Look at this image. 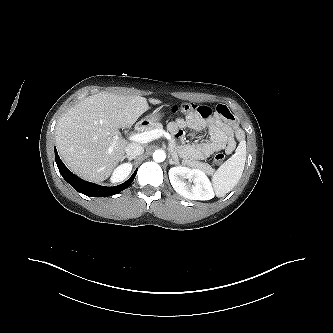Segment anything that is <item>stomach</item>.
<instances>
[{
    "label": "stomach",
    "mask_w": 333,
    "mask_h": 333,
    "mask_svg": "<svg viewBox=\"0 0 333 333\" xmlns=\"http://www.w3.org/2000/svg\"><path fill=\"white\" fill-rule=\"evenodd\" d=\"M163 116V114L161 113L160 109L155 110L154 112H152L151 114L147 115L143 121L147 122V123H152L155 121H159L161 119V117Z\"/></svg>",
    "instance_id": "1"
}]
</instances>
